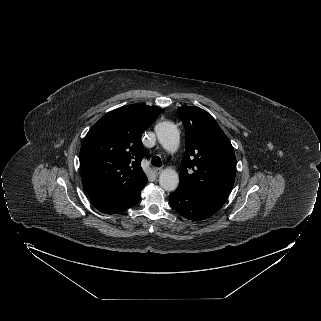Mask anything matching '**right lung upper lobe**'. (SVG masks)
<instances>
[{
    "label": "right lung upper lobe",
    "mask_w": 321,
    "mask_h": 321,
    "mask_svg": "<svg viewBox=\"0 0 321 321\" xmlns=\"http://www.w3.org/2000/svg\"><path fill=\"white\" fill-rule=\"evenodd\" d=\"M162 109L127 105L105 114L87 133L80 149L82 181L99 211L123 210L140 201L147 177L141 168V134Z\"/></svg>",
    "instance_id": "1"
}]
</instances>
